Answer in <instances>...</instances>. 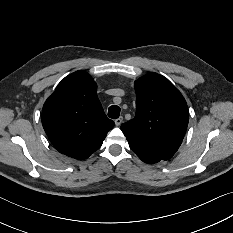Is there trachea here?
I'll return each mask as SVG.
<instances>
[{"instance_id": "trachea-1", "label": "trachea", "mask_w": 233, "mask_h": 233, "mask_svg": "<svg viewBox=\"0 0 233 233\" xmlns=\"http://www.w3.org/2000/svg\"><path fill=\"white\" fill-rule=\"evenodd\" d=\"M108 116L112 119H117L120 116V107L117 105H112L108 109Z\"/></svg>"}]
</instances>
